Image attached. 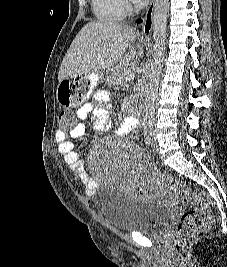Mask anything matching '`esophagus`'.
Here are the masks:
<instances>
[{
  "instance_id": "34e87169",
  "label": "esophagus",
  "mask_w": 227,
  "mask_h": 267,
  "mask_svg": "<svg viewBox=\"0 0 227 267\" xmlns=\"http://www.w3.org/2000/svg\"><path fill=\"white\" fill-rule=\"evenodd\" d=\"M155 1L156 0L150 1L149 6H148L146 13H145V16H144V21H143L141 33L145 37H149L151 35V32H152Z\"/></svg>"
}]
</instances>
